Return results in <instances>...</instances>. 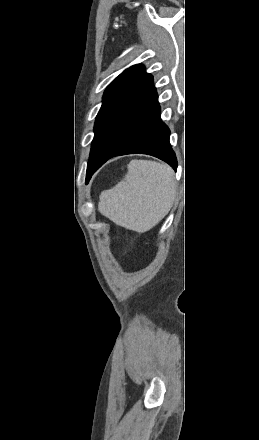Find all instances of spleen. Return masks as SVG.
Here are the masks:
<instances>
[{
  "label": "spleen",
  "mask_w": 259,
  "mask_h": 440,
  "mask_svg": "<svg viewBox=\"0 0 259 440\" xmlns=\"http://www.w3.org/2000/svg\"><path fill=\"white\" fill-rule=\"evenodd\" d=\"M125 178L100 195L99 212L114 223L144 233L163 219L177 194L170 166L151 160L130 161Z\"/></svg>",
  "instance_id": "3e777b00"
}]
</instances>
